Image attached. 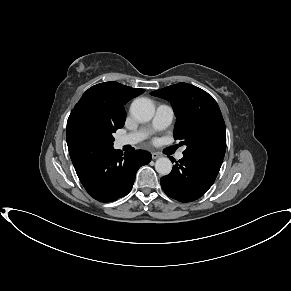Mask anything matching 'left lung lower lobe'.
Here are the masks:
<instances>
[{
  "label": "left lung lower lobe",
  "mask_w": 291,
  "mask_h": 291,
  "mask_svg": "<svg viewBox=\"0 0 291 291\" xmlns=\"http://www.w3.org/2000/svg\"><path fill=\"white\" fill-rule=\"evenodd\" d=\"M221 165L219 162H204L183 156L171 173L160 179V183L169 197L180 202H191L213 185Z\"/></svg>",
  "instance_id": "1"
}]
</instances>
